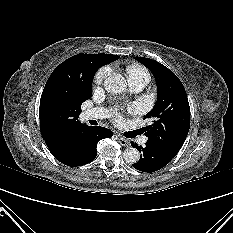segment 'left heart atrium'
<instances>
[{
  "instance_id": "left-heart-atrium-1",
  "label": "left heart atrium",
  "mask_w": 233,
  "mask_h": 233,
  "mask_svg": "<svg viewBox=\"0 0 233 233\" xmlns=\"http://www.w3.org/2000/svg\"><path fill=\"white\" fill-rule=\"evenodd\" d=\"M115 118H116L118 121H120V120L122 119V116H121L119 113L116 112Z\"/></svg>"
}]
</instances>
